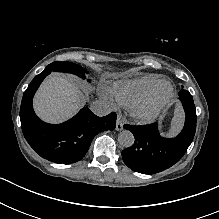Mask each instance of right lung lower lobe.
<instances>
[{
    "instance_id": "1",
    "label": "right lung lower lobe",
    "mask_w": 219,
    "mask_h": 219,
    "mask_svg": "<svg viewBox=\"0 0 219 219\" xmlns=\"http://www.w3.org/2000/svg\"><path fill=\"white\" fill-rule=\"evenodd\" d=\"M48 74L50 71L44 70L35 76L24 92L20 108L22 131L27 142L41 157L55 163L71 164L85 156L98 133L115 129L117 115L112 112L105 117H98L84 107L61 124L41 121L34 113L32 99Z\"/></svg>"
}]
</instances>
